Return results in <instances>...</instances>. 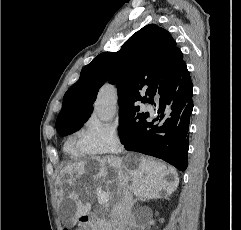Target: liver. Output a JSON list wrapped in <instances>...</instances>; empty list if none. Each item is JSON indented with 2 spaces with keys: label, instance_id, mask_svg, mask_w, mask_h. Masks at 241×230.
<instances>
[{
  "label": "liver",
  "instance_id": "obj_1",
  "mask_svg": "<svg viewBox=\"0 0 241 230\" xmlns=\"http://www.w3.org/2000/svg\"><path fill=\"white\" fill-rule=\"evenodd\" d=\"M93 160L96 161L97 165V170L92 175L93 185L86 186L80 183L87 195H90L94 189L97 192L102 191L101 184H105L109 199L117 203L122 196L117 167L120 168L127 182H130L131 192L138 198L157 199L161 198L162 192L167 197L176 190L179 184L178 175L173 167L136 153H129L124 159L119 157H95ZM109 168L114 169L112 175H109ZM65 172L70 175L68 184L75 188L76 179L88 175L86 162L72 164L65 169ZM167 176H170L171 180H167ZM68 198L72 199L76 205L75 223L78 218L89 213L91 205L84 203L80 199V193H77L76 190L69 192ZM62 200L64 199H60V203Z\"/></svg>",
  "mask_w": 241,
  "mask_h": 230
}]
</instances>
